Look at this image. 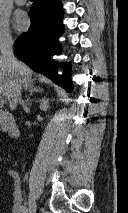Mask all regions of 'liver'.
Listing matches in <instances>:
<instances>
[{
	"instance_id": "obj_1",
	"label": "liver",
	"mask_w": 128,
	"mask_h": 213,
	"mask_svg": "<svg viewBox=\"0 0 128 213\" xmlns=\"http://www.w3.org/2000/svg\"><path fill=\"white\" fill-rule=\"evenodd\" d=\"M19 69H15L8 64L3 56H0V94L5 96L10 105V109L16 108V101L14 97V87L16 80L20 81L21 86L28 88L33 82L32 70L22 62H18Z\"/></svg>"
}]
</instances>
